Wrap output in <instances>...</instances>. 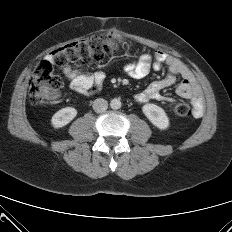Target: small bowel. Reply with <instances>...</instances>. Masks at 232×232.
Here are the masks:
<instances>
[{
    "mask_svg": "<svg viewBox=\"0 0 232 232\" xmlns=\"http://www.w3.org/2000/svg\"><path fill=\"white\" fill-rule=\"evenodd\" d=\"M164 66L167 67L166 75L160 80L153 81L143 91L136 94L135 100L138 102L149 100L174 102L173 98L165 97L162 91L171 86L179 76L182 80L176 87V94L190 100L193 106V115L200 117L204 110L201 91L191 69L181 59L164 51H157L153 56L141 54L137 59L130 61L124 71L129 78L140 80L145 78L152 69L159 71ZM62 72L70 89L80 95H89L99 91L106 77L102 70L81 72L64 67Z\"/></svg>",
    "mask_w": 232,
    "mask_h": 232,
    "instance_id": "c3829d8e",
    "label": "small bowel"
}]
</instances>
